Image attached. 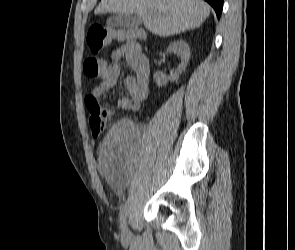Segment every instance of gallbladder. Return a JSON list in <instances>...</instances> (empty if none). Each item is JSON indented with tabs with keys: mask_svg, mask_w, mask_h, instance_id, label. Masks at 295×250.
Returning <instances> with one entry per match:
<instances>
[{
	"mask_svg": "<svg viewBox=\"0 0 295 250\" xmlns=\"http://www.w3.org/2000/svg\"><path fill=\"white\" fill-rule=\"evenodd\" d=\"M141 19L135 14H116L109 17L106 21L111 28H129L133 29L140 25Z\"/></svg>",
	"mask_w": 295,
	"mask_h": 250,
	"instance_id": "1",
	"label": "gallbladder"
}]
</instances>
